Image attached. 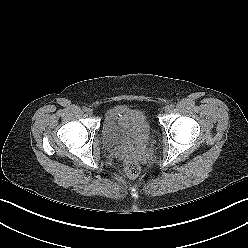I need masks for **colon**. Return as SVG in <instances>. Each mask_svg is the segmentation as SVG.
Listing matches in <instances>:
<instances>
[{
	"label": "colon",
	"instance_id": "1",
	"mask_svg": "<svg viewBox=\"0 0 248 248\" xmlns=\"http://www.w3.org/2000/svg\"><path fill=\"white\" fill-rule=\"evenodd\" d=\"M140 173V165L133 157H126L123 162L122 174L128 178H135Z\"/></svg>",
	"mask_w": 248,
	"mask_h": 248
}]
</instances>
